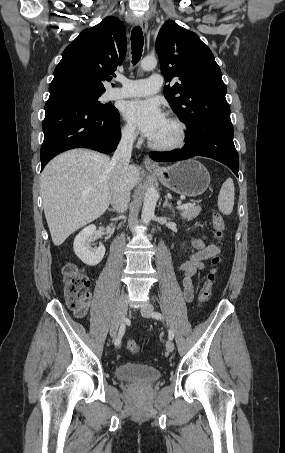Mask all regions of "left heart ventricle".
Returning <instances> with one entry per match:
<instances>
[{
  "label": "left heart ventricle",
  "mask_w": 285,
  "mask_h": 453,
  "mask_svg": "<svg viewBox=\"0 0 285 453\" xmlns=\"http://www.w3.org/2000/svg\"><path fill=\"white\" fill-rule=\"evenodd\" d=\"M177 136V127L166 118L158 133L151 140L159 144H166L175 141Z\"/></svg>",
  "instance_id": "1"
}]
</instances>
